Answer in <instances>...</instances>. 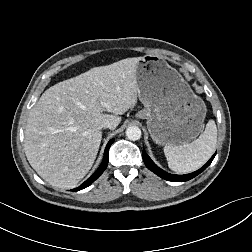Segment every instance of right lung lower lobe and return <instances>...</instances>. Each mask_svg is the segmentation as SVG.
I'll use <instances>...</instances> for the list:
<instances>
[{
  "mask_svg": "<svg viewBox=\"0 0 252 252\" xmlns=\"http://www.w3.org/2000/svg\"><path fill=\"white\" fill-rule=\"evenodd\" d=\"M113 142H114V139H111L108 142V144L105 148L103 161H102L101 165L99 166V168L95 171V173L91 177H89L83 184H81L78 188L73 189V191H79L81 189L88 187L104 172V170L106 169V167L108 165L109 148Z\"/></svg>",
  "mask_w": 252,
  "mask_h": 252,
  "instance_id": "obj_1",
  "label": "right lung lower lobe"
}]
</instances>
